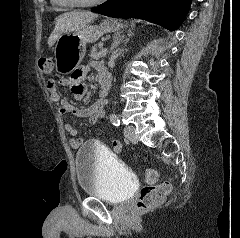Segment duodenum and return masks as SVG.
I'll return each mask as SVG.
<instances>
[{
  "mask_svg": "<svg viewBox=\"0 0 240 238\" xmlns=\"http://www.w3.org/2000/svg\"><path fill=\"white\" fill-rule=\"evenodd\" d=\"M99 81L101 85L100 97L105 99L111 88V78L107 72H101L99 75Z\"/></svg>",
  "mask_w": 240,
  "mask_h": 238,
  "instance_id": "duodenum-1",
  "label": "duodenum"
}]
</instances>
